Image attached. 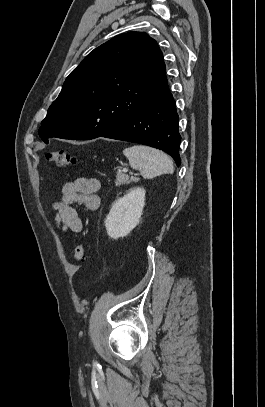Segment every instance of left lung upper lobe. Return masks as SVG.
<instances>
[{
	"instance_id": "5c2ea615",
	"label": "left lung upper lobe",
	"mask_w": 265,
	"mask_h": 407,
	"mask_svg": "<svg viewBox=\"0 0 265 407\" xmlns=\"http://www.w3.org/2000/svg\"><path fill=\"white\" fill-rule=\"evenodd\" d=\"M167 87L156 41L144 32L118 35L90 52L70 73L39 135L46 143L49 137H100Z\"/></svg>"
}]
</instances>
